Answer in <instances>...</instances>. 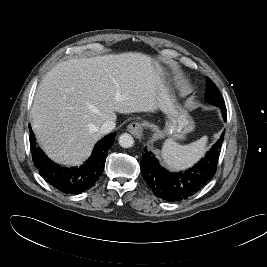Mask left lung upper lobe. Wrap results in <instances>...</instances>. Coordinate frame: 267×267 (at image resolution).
<instances>
[{"label": "left lung upper lobe", "mask_w": 267, "mask_h": 267, "mask_svg": "<svg viewBox=\"0 0 267 267\" xmlns=\"http://www.w3.org/2000/svg\"><path fill=\"white\" fill-rule=\"evenodd\" d=\"M206 100L210 103L219 106L224 105V101L217 86L209 79L206 78Z\"/></svg>", "instance_id": "left-lung-upper-lobe-1"}]
</instances>
